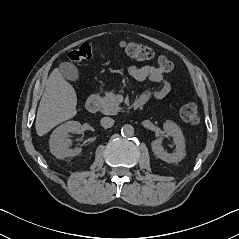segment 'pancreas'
Here are the masks:
<instances>
[{
    "mask_svg": "<svg viewBox=\"0 0 239 239\" xmlns=\"http://www.w3.org/2000/svg\"><path fill=\"white\" fill-rule=\"evenodd\" d=\"M120 111L116 95L111 91L101 99V112L105 115H115Z\"/></svg>",
    "mask_w": 239,
    "mask_h": 239,
    "instance_id": "cf45deb5",
    "label": "pancreas"
}]
</instances>
